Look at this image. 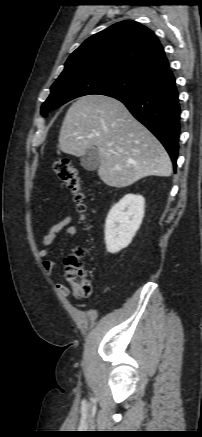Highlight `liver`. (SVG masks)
I'll return each instance as SVG.
<instances>
[{"mask_svg": "<svg viewBox=\"0 0 202 437\" xmlns=\"http://www.w3.org/2000/svg\"><path fill=\"white\" fill-rule=\"evenodd\" d=\"M59 148L82 156L97 148L98 175L108 186L123 188L147 176L172 173V163L159 140L120 101L86 95L68 109L59 134Z\"/></svg>", "mask_w": 202, "mask_h": 437, "instance_id": "1", "label": "liver"}]
</instances>
